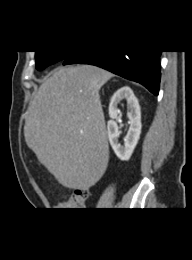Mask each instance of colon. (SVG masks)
<instances>
[{"instance_id": "colon-1", "label": "colon", "mask_w": 192, "mask_h": 260, "mask_svg": "<svg viewBox=\"0 0 192 260\" xmlns=\"http://www.w3.org/2000/svg\"><path fill=\"white\" fill-rule=\"evenodd\" d=\"M88 192L86 190L75 191L67 201L62 202L58 205L59 210H76L82 208L87 199Z\"/></svg>"}]
</instances>
